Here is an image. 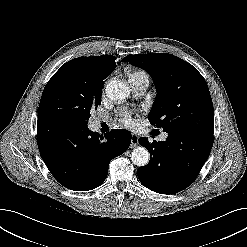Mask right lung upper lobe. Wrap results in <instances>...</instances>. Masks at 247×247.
Returning a JSON list of instances; mask_svg holds the SVG:
<instances>
[{"label": "right lung upper lobe", "instance_id": "right-lung-upper-lobe-1", "mask_svg": "<svg viewBox=\"0 0 247 247\" xmlns=\"http://www.w3.org/2000/svg\"><path fill=\"white\" fill-rule=\"evenodd\" d=\"M83 67L85 72L103 87V80L115 68V56L103 55L95 57L75 58Z\"/></svg>", "mask_w": 247, "mask_h": 247}]
</instances>
